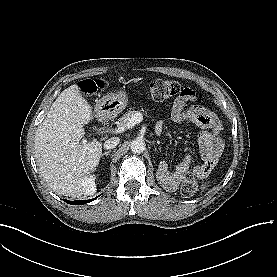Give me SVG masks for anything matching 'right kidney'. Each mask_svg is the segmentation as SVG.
Wrapping results in <instances>:
<instances>
[{"label":"right kidney","instance_id":"obj_1","mask_svg":"<svg viewBox=\"0 0 277 277\" xmlns=\"http://www.w3.org/2000/svg\"><path fill=\"white\" fill-rule=\"evenodd\" d=\"M95 178V175H90L83 181V189L89 194H93L96 191Z\"/></svg>","mask_w":277,"mask_h":277}]
</instances>
